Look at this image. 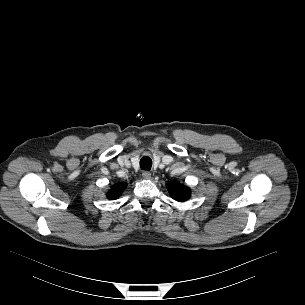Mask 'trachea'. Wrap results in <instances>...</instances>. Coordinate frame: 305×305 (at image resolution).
Segmentation results:
<instances>
[{"instance_id":"3493384b","label":"trachea","mask_w":305,"mask_h":305,"mask_svg":"<svg viewBox=\"0 0 305 305\" xmlns=\"http://www.w3.org/2000/svg\"><path fill=\"white\" fill-rule=\"evenodd\" d=\"M152 167V160L148 156H143L140 160V168L149 171Z\"/></svg>"}]
</instances>
